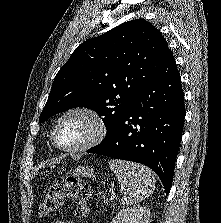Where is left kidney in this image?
Segmentation results:
<instances>
[{
	"mask_svg": "<svg viewBox=\"0 0 221 223\" xmlns=\"http://www.w3.org/2000/svg\"><path fill=\"white\" fill-rule=\"evenodd\" d=\"M150 209L145 206L121 210L110 223H149Z\"/></svg>",
	"mask_w": 221,
	"mask_h": 223,
	"instance_id": "5707ae66",
	"label": "left kidney"
}]
</instances>
